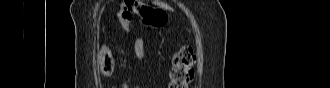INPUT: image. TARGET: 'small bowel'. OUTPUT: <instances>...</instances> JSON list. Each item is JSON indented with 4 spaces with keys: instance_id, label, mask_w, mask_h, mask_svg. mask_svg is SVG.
<instances>
[{
    "instance_id": "small-bowel-1",
    "label": "small bowel",
    "mask_w": 330,
    "mask_h": 88,
    "mask_svg": "<svg viewBox=\"0 0 330 88\" xmlns=\"http://www.w3.org/2000/svg\"><path fill=\"white\" fill-rule=\"evenodd\" d=\"M133 47L136 57L141 61H145L147 56L144 47V39L142 37H137L134 40ZM121 87L127 88L126 85H122Z\"/></svg>"
}]
</instances>
